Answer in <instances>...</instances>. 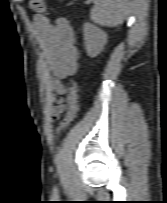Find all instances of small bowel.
Instances as JSON below:
<instances>
[{"mask_svg": "<svg viewBox=\"0 0 167 203\" xmlns=\"http://www.w3.org/2000/svg\"><path fill=\"white\" fill-rule=\"evenodd\" d=\"M34 30L40 38L45 58L53 76V88L58 96L67 91L65 79L73 76L78 70L79 52L74 45V31L66 18H58L54 23L48 18L37 16L34 19ZM50 116L56 121L64 111V101L56 100Z\"/></svg>", "mask_w": 167, "mask_h": 203, "instance_id": "obj_1", "label": "small bowel"}]
</instances>
